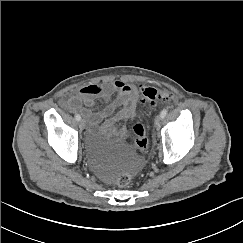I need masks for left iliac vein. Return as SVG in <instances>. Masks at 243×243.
Wrapping results in <instances>:
<instances>
[{"mask_svg": "<svg viewBox=\"0 0 243 243\" xmlns=\"http://www.w3.org/2000/svg\"><path fill=\"white\" fill-rule=\"evenodd\" d=\"M161 122H162V117L160 115L156 116L154 124L156 128H159L161 126Z\"/></svg>", "mask_w": 243, "mask_h": 243, "instance_id": "obj_1", "label": "left iliac vein"}]
</instances>
